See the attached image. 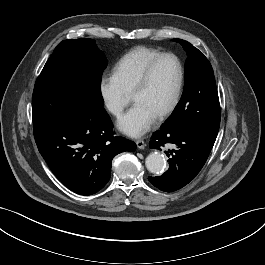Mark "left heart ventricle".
<instances>
[{
  "label": "left heart ventricle",
  "instance_id": "b2bd125f",
  "mask_svg": "<svg viewBox=\"0 0 265 265\" xmlns=\"http://www.w3.org/2000/svg\"><path fill=\"white\" fill-rule=\"evenodd\" d=\"M178 81V68L171 58L161 60L154 68L146 88L132 102L140 104L157 116L172 101Z\"/></svg>",
  "mask_w": 265,
  "mask_h": 265
}]
</instances>
